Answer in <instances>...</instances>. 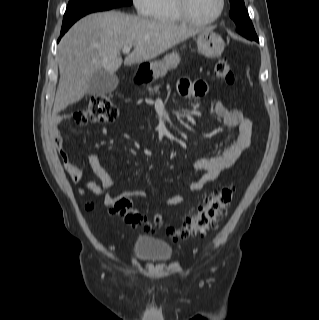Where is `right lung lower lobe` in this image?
Returning <instances> with one entry per match:
<instances>
[{
    "label": "right lung lower lobe",
    "mask_w": 319,
    "mask_h": 320,
    "mask_svg": "<svg viewBox=\"0 0 319 320\" xmlns=\"http://www.w3.org/2000/svg\"><path fill=\"white\" fill-rule=\"evenodd\" d=\"M68 29H69V28H65V29L62 28V29H61L60 38L65 34V32H66ZM60 38H59V39H60Z\"/></svg>",
    "instance_id": "right-lung-lower-lobe-1"
}]
</instances>
